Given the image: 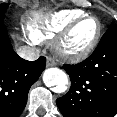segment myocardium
<instances>
[{
    "label": "myocardium",
    "instance_id": "obj_1",
    "mask_svg": "<svg viewBox=\"0 0 117 117\" xmlns=\"http://www.w3.org/2000/svg\"><path fill=\"white\" fill-rule=\"evenodd\" d=\"M86 20H94L96 22L97 28L96 32L89 42V44L81 50L73 51L68 47V41L76 30V28ZM102 26L99 19L92 15H84L76 18L72 21L65 30L61 32L58 38L54 42V50L59 55L60 58L71 61L79 62L88 58L96 49L101 38Z\"/></svg>",
    "mask_w": 117,
    "mask_h": 117
}]
</instances>
